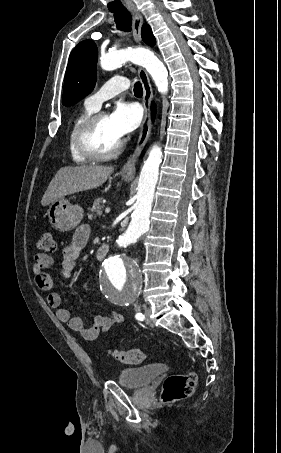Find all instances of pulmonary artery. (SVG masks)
Here are the masks:
<instances>
[{
	"label": "pulmonary artery",
	"instance_id": "pulmonary-artery-1",
	"mask_svg": "<svg viewBox=\"0 0 281 453\" xmlns=\"http://www.w3.org/2000/svg\"><path fill=\"white\" fill-rule=\"evenodd\" d=\"M106 86H112V87H115V89H113L112 91L107 92V93H97V94L91 96L88 104L92 108L99 110L104 101L115 96L119 92L125 90L128 86V80H127V78H124V77H113L103 85V87H106Z\"/></svg>",
	"mask_w": 281,
	"mask_h": 453
}]
</instances>
